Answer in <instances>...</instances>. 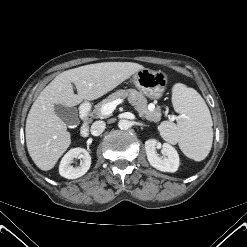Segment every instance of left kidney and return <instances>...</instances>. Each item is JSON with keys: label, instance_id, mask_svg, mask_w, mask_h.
<instances>
[{"label": "left kidney", "instance_id": "obj_1", "mask_svg": "<svg viewBox=\"0 0 247 247\" xmlns=\"http://www.w3.org/2000/svg\"><path fill=\"white\" fill-rule=\"evenodd\" d=\"M157 144L156 139H149L145 142V150L150 165L163 172H176L179 167V155L176 149L170 144L164 143L162 151L166 156L161 158L156 151Z\"/></svg>", "mask_w": 247, "mask_h": 247}]
</instances>
